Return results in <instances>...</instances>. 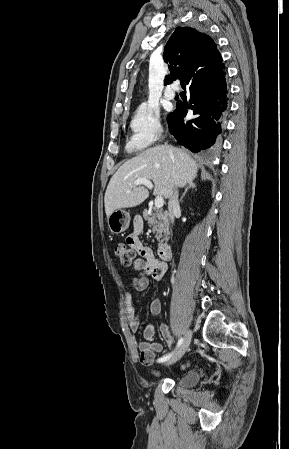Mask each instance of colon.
Wrapping results in <instances>:
<instances>
[{"label": "colon", "mask_w": 289, "mask_h": 449, "mask_svg": "<svg viewBox=\"0 0 289 449\" xmlns=\"http://www.w3.org/2000/svg\"><path fill=\"white\" fill-rule=\"evenodd\" d=\"M115 255L121 264L130 266L136 258V252L127 243H118L115 246Z\"/></svg>", "instance_id": "5ec220e1"}]
</instances>
